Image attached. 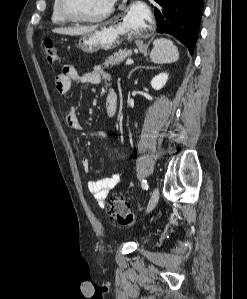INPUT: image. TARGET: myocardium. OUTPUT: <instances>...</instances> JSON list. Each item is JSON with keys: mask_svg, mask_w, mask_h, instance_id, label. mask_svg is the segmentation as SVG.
Wrapping results in <instances>:
<instances>
[{"mask_svg": "<svg viewBox=\"0 0 247 299\" xmlns=\"http://www.w3.org/2000/svg\"><path fill=\"white\" fill-rule=\"evenodd\" d=\"M59 11L61 15L70 22L75 23H97L105 20L110 16L114 9V2H111L110 6L101 14L94 17H82L73 14L68 8L67 0H58Z\"/></svg>", "mask_w": 247, "mask_h": 299, "instance_id": "1", "label": "myocardium"}]
</instances>
